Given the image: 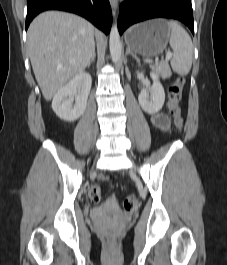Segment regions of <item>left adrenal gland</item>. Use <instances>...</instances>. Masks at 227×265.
I'll use <instances>...</instances> for the list:
<instances>
[{
	"label": "left adrenal gland",
	"instance_id": "left-adrenal-gland-1",
	"mask_svg": "<svg viewBox=\"0 0 227 265\" xmlns=\"http://www.w3.org/2000/svg\"><path fill=\"white\" fill-rule=\"evenodd\" d=\"M131 54L134 58H136V55L128 48L126 50V55Z\"/></svg>",
	"mask_w": 227,
	"mask_h": 265
}]
</instances>
